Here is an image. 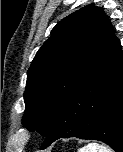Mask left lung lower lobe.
I'll return each instance as SVG.
<instances>
[{"mask_svg":"<svg viewBox=\"0 0 123 152\" xmlns=\"http://www.w3.org/2000/svg\"><path fill=\"white\" fill-rule=\"evenodd\" d=\"M69 137L123 152V56L115 36L58 106L41 149Z\"/></svg>","mask_w":123,"mask_h":152,"instance_id":"obj_1","label":"left lung lower lobe"}]
</instances>
